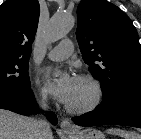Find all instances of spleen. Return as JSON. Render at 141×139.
<instances>
[{
  "mask_svg": "<svg viewBox=\"0 0 141 139\" xmlns=\"http://www.w3.org/2000/svg\"><path fill=\"white\" fill-rule=\"evenodd\" d=\"M108 132L110 134H115L120 136L123 139H141V135L135 132H130L121 129H109Z\"/></svg>",
  "mask_w": 141,
  "mask_h": 139,
  "instance_id": "obj_1",
  "label": "spleen"
}]
</instances>
